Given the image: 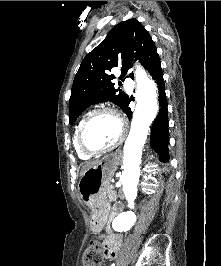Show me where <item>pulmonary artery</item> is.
<instances>
[{"label":"pulmonary artery","instance_id":"e3ab8cb5","mask_svg":"<svg viewBox=\"0 0 221 266\" xmlns=\"http://www.w3.org/2000/svg\"><path fill=\"white\" fill-rule=\"evenodd\" d=\"M127 87H128V89H131V88H132V86H131V85H128Z\"/></svg>","mask_w":221,"mask_h":266}]
</instances>
